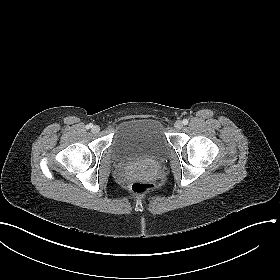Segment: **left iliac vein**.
I'll list each match as a JSON object with an SVG mask.
<instances>
[{
    "mask_svg": "<svg viewBox=\"0 0 280 280\" xmlns=\"http://www.w3.org/2000/svg\"><path fill=\"white\" fill-rule=\"evenodd\" d=\"M174 127H175L177 130L182 129V127H183L182 121L177 120V121L174 123Z\"/></svg>",
    "mask_w": 280,
    "mask_h": 280,
    "instance_id": "1",
    "label": "left iliac vein"
}]
</instances>
